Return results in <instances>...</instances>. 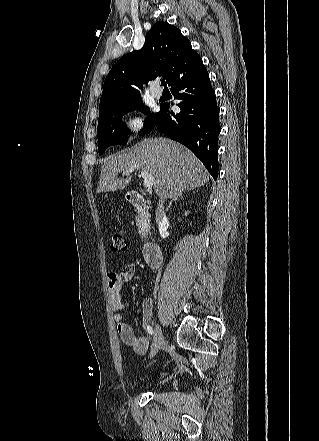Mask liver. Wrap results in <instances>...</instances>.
<instances>
[{
	"mask_svg": "<svg viewBox=\"0 0 319 441\" xmlns=\"http://www.w3.org/2000/svg\"><path fill=\"white\" fill-rule=\"evenodd\" d=\"M144 169L154 176L153 188L161 200L179 198L186 189L204 186L209 174L195 155L167 138H145L123 154L110 156L104 163L97 193L126 187L132 177L117 178L125 170Z\"/></svg>",
	"mask_w": 319,
	"mask_h": 441,
	"instance_id": "1",
	"label": "liver"
}]
</instances>
